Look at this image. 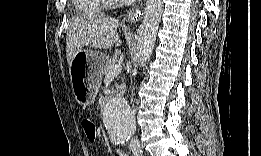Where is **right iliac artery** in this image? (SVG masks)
Returning a JSON list of instances; mask_svg holds the SVG:
<instances>
[{
	"instance_id": "obj_1",
	"label": "right iliac artery",
	"mask_w": 261,
	"mask_h": 156,
	"mask_svg": "<svg viewBox=\"0 0 261 156\" xmlns=\"http://www.w3.org/2000/svg\"><path fill=\"white\" fill-rule=\"evenodd\" d=\"M123 141L122 140H113V143L115 144V145H118V144H120V143H122Z\"/></svg>"
}]
</instances>
